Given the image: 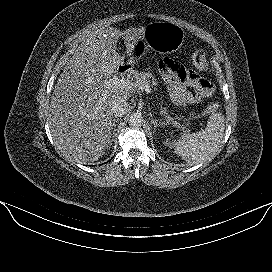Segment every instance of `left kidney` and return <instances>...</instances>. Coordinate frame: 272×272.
I'll use <instances>...</instances> for the list:
<instances>
[{"label":"left kidney","instance_id":"obj_1","mask_svg":"<svg viewBox=\"0 0 272 272\" xmlns=\"http://www.w3.org/2000/svg\"><path fill=\"white\" fill-rule=\"evenodd\" d=\"M164 144L167 146L169 143H167V141H165Z\"/></svg>","mask_w":272,"mask_h":272}]
</instances>
